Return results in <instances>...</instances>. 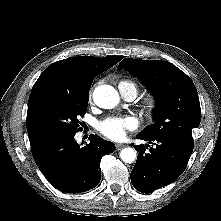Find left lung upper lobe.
Instances as JSON below:
<instances>
[{"label":"left lung upper lobe","instance_id":"5c2ea615","mask_svg":"<svg viewBox=\"0 0 221 221\" xmlns=\"http://www.w3.org/2000/svg\"><path fill=\"white\" fill-rule=\"evenodd\" d=\"M141 79L156 99L155 123L141 134L168 137L194 146L192 130L200 124L201 109L196 87L178 67L163 60L126 58L118 66Z\"/></svg>","mask_w":221,"mask_h":221}]
</instances>
